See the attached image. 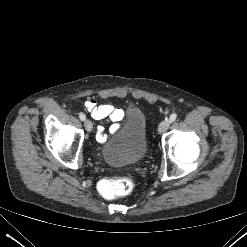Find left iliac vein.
<instances>
[{
    "label": "left iliac vein",
    "instance_id": "1",
    "mask_svg": "<svg viewBox=\"0 0 247 247\" xmlns=\"http://www.w3.org/2000/svg\"><path fill=\"white\" fill-rule=\"evenodd\" d=\"M170 125V121L168 120H164L160 123L159 127H158V132L161 134V133H164L168 127Z\"/></svg>",
    "mask_w": 247,
    "mask_h": 247
}]
</instances>
